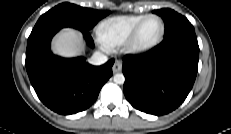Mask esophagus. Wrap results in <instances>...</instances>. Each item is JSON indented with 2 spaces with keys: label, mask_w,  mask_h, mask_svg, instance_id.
Returning <instances> with one entry per match:
<instances>
[{
  "label": "esophagus",
  "mask_w": 231,
  "mask_h": 134,
  "mask_svg": "<svg viewBox=\"0 0 231 134\" xmlns=\"http://www.w3.org/2000/svg\"><path fill=\"white\" fill-rule=\"evenodd\" d=\"M113 73H118L122 70V63L119 60H116L113 67H112Z\"/></svg>",
  "instance_id": "esophagus-1"
}]
</instances>
